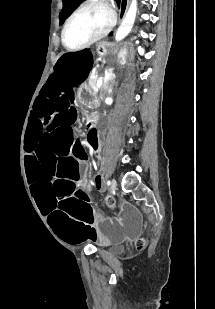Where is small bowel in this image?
I'll return each instance as SVG.
<instances>
[{
	"instance_id": "1",
	"label": "small bowel",
	"mask_w": 215,
	"mask_h": 309,
	"mask_svg": "<svg viewBox=\"0 0 215 309\" xmlns=\"http://www.w3.org/2000/svg\"><path fill=\"white\" fill-rule=\"evenodd\" d=\"M93 127H94V125H92V124H90V122H88V128H89V129H93ZM92 133H94V134H92ZM92 133H91V137H90L91 143H92L96 148H98V147H99V139H98V137H97V135H96V132H92ZM98 186L100 187V183H99Z\"/></svg>"
}]
</instances>
